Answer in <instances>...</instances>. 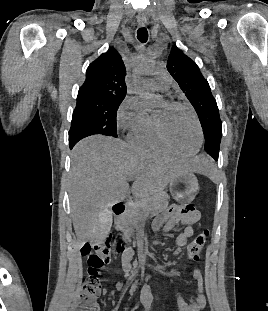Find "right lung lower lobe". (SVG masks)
<instances>
[{"mask_svg":"<svg viewBox=\"0 0 268 311\" xmlns=\"http://www.w3.org/2000/svg\"><path fill=\"white\" fill-rule=\"evenodd\" d=\"M87 136H90L89 133H84V132H81V133H78L76 136L74 137H69V145H70V149L73 148V146L81 139L87 137Z\"/></svg>","mask_w":268,"mask_h":311,"instance_id":"98d812e1","label":"right lung lower lobe"}]
</instances>
